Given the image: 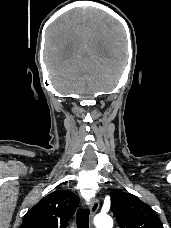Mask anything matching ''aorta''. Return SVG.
Returning a JSON list of instances; mask_svg holds the SVG:
<instances>
[{
  "instance_id": "1",
  "label": "aorta",
  "mask_w": 171,
  "mask_h": 228,
  "mask_svg": "<svg viewBox=\"0 0 171 228\" xmlns=\"http://www.w3.org/2000/svg\"><path fill=\"white\" fill-rule=\"evenodd\" d=\"M94 224H95L96 228H112L113 220L107 214H98L94 218Z\"/></svg>"
}]
</instances>
